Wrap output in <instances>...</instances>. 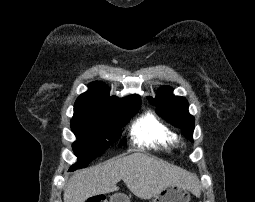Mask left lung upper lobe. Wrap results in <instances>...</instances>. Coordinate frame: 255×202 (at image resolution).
<instances>
[{
  "instance_id": "left-lung-upper-lobe-1",
  "label": "left lung upper lobe",
  "mask_w": 255,
  "mask_h": 202,
  "mask_svg": "<svg viewBox=\"0 0 255 202\" xmlns=\"http://www.w3.org/2000/svg\"><path fill=\"white\" fill-rule=\"evenodd\" d=\"M150 103L158 106L156 112L172 125L182 129L187 139L192 141L194 117L188 112V102L184 97L174 96L170 87L160 88L155 98L148 97Z\"/></svg>"
}]
</instances>
